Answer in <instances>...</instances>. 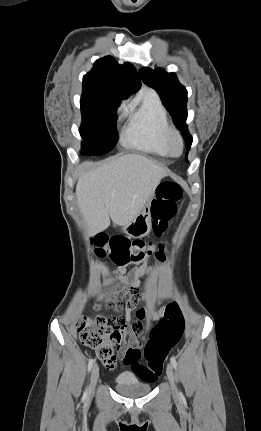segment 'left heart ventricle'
<instances>
[{"label": "left heart ventricle", "instance_id": "1", "mask_svg": "<svg viewBox=\"0 0 261 431\" xmlns=\"http://www.w3.org/2000/svg\"><path fill=\"white\" fill-rule=\"evenodd\" d=\"M175 149H177V145L175 144Z\"/></svg>", "mask_w": 261, "mask_h": 431}]
</instances>
